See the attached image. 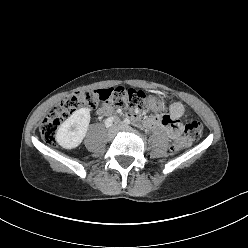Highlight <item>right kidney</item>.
Returning a JSON list of instances; mask_svg holds the SVG:
<instances>
[{"label": "right kidney", "instance_id": "obj_1", "mask_svg": "<svg viewBox=\"0 0 248 248\" xmlns=\"http://www.w3.org/2000/svg\"><path fill=\"white\" fill-rule=\"evenodd\" d=\"M89 122V109H78L59 127L56 133L57 143L65 149H74L78 147L86 136Z\"/></svg>", "mask_w": 248, "mask_h": 248}]
</instances>
